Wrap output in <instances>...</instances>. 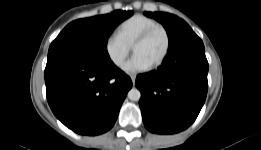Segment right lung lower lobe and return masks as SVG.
I'll use <instances>...</instances> for the list:
<instances>
[{"instance_id":"98d812e1","label":"right lung lower lobe","mask_w":261,"mask_h":150,"mask_svg":"<svg viewBox=\"0 0 261 150\" xmlns=\"http://www.w3.org/2000/svg\"><path fill=\"white\" fill-rule=\"evenodd\" d=\"M47 100L55 116L81 135L102 134L114 125L132 87L111 59L59 57L45 68Z\"/></svg>"}]
</instances>
